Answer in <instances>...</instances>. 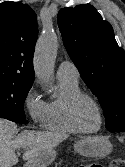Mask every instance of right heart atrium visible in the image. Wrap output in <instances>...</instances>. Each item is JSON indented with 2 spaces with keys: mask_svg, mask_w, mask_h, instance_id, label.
<instances>
[{
  "mask_svg": "<svg viewBox=\"0 0 125 167\" xmlns=\"http://www.w3.org/2000/svg\"><path fill=\"white\" fill-rule=\"evenodd\" d=\"M23 108L30 121L42 125L46 115L47 103L42 99L35 86H31L24 95Z\"/></svg>",
  "mask_w": 125,
  "mask_h": 167,
  "instance_id": "right-heart-atrium-1",
  "label": "right heart atrium"
}]
</instances>
